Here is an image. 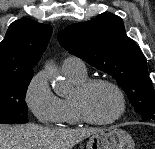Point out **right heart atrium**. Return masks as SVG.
Wrapping results in <instances>:
<instances>
[{"label":"right heart atrium","mask_w":155,"mask_h":149,"mask_svg":"<svg viewBox=\"0 0 155 149\" xmlns=\"http://www.w3.org/2000/svg\"><path fill=\"white\" fill-rule=\"evenodd\" d=\"M25 102L29 110L43 124L60 122V99L52 92L45 72L37 73L28 83Z\"/></svg>","instance_id":"d8ad5b80"}]
</instances>
